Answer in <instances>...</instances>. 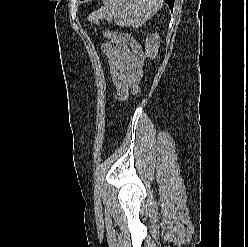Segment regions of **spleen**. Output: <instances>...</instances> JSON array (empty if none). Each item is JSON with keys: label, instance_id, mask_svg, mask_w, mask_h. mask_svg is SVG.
Segmentation results:
<instances>
[{"label": "spleen", "instance_id": "spleen-1", "mask_svg": "<svg viewBox=\"0 0 248 247\" xmlns=\"http://www.w3.org/2000/svg\"><path fill=\"white\" fill-rule=\"evenodd\" d=\"M104 6L89 14L88 21L99 25V19H115L122 27H139L162 7V0H103Z\"/></svg>", "mask_w": 248, "mask_h": 247}]
</instances>
